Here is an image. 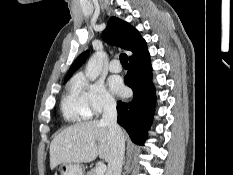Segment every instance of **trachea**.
Wrapping results in <instances>:
<instances>
[{
	"mask_svg": "<svg viewBox=\"0 0 233 175\" xmlns=\"http://www.w3.org/2000/svg\"><path fill=\"white\" fill-rule=\"evenodd\" d=\"M120 62H121V64H122L123 67H128V65H129L128 64V57H127L126 54L122 53L120 55Z\"/></svg>",
	"mask_w": 233,
	"mask_h": 175,
	"instance_id": "trachea-1",
	"label": "trachea"
}]
</instances>
